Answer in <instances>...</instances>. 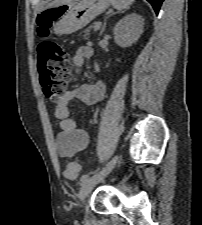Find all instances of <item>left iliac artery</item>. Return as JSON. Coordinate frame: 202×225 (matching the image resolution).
Returning a JSON list of instances; mask_svg holds the SVG:
<instances>
[{
	"label": "left iliac artery",
	"mask_w": 202,
	"mask_h": 225,
	"mask_svg": "<svg viewBox=\"0 0 202 225\" xmlns=\"http://www.w3.org/2000/svg\"><path fill=\"white\" fill-rule=\"evenodd\" d=\"M95 173V172H94ZM89 178V174H85L81 177L80 182L83 184Z\"/></svg>",
	"instance_id": "obj_1"
}]
</instances>
